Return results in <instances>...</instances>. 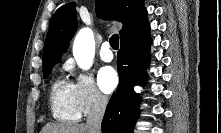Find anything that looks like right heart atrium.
<instances>
[{"instance_id":"obj_1","label":"right heart atrium","mask_w":221,"mask_h":133,"mask_svg":"<svg viewBox=\"0 0 221 133\" xmlns=\"http://www.w3.org/2000/svg\"><path fill=\"white\" fill-rule=\"evenodd\" d=\"M66 69L73 70L70 65H66ZM73 86L81 114L89 115L102 111L106 107L107 98L98 90L91 74L76 73Z\"/></svg>"}]
</instances>
